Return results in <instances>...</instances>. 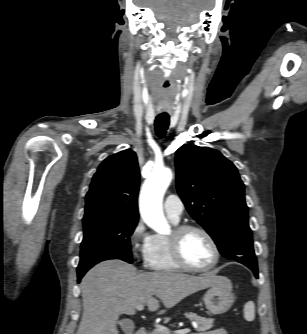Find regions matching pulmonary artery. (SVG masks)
<instances>
[{"instance_id":"e3ab8cb5","label":"pulmonary artery","mask_w":307,"mask_h":334,"mask_svg":"<svg viewBox=\"0 0 307 334\" xmlns=\"http://www.w3.org/2000/svg\"><path fill=\"white\" fill-rule=\"evenodd\" d=\"M165 214L175 223L180 220V216L183 212V203L179 196L169 195L164 201Z\"/></svg>"}]
</instances>
